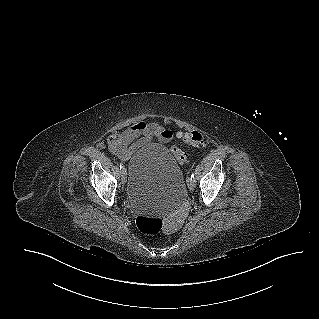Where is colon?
<instances>
[{
  "label": "colon",
  "instance_id": "obj_1",
  "mask_svg": "<svg viewBox=\"0 0 319 319\" xmlns=\"http://www.w3.org/2000/svg\"><path fill=\"white\" fill-rule=\"evenodd\" d=\"M176 136L178 139L192 146L202 145L206 140L205 132L196 128L187 129L185 127H180L176 131ZM171 152L182 166H185L188 163L187 154L184 150L177 146H172ZM136 226L144 235H157L165 228V224L161 219L151 216H139L136 219Z\"/></svg>",
  "mask_w": 319,
  "mask_h": 319
}]
</instances>
